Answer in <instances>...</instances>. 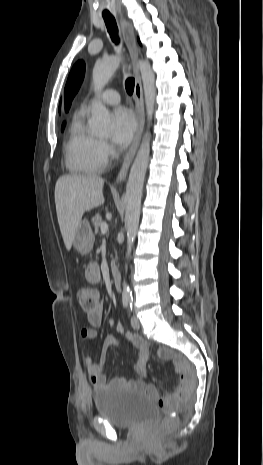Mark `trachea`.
<instances>
[{
	"label": "trachea",
	"mask_w": 263,
	"mask_h": 465,
	"mask_svg": "<svg viewBox=\"0 0 263 465\" xmlns=\"http://www.w3.org/2000/svg\"><path fill=\"white\" fill-rule=\"evenodd\" d=\"M103 19L105 21L108 33L110 34V37L112 41L115 44L119 43V37H118V27L115 21V18L112 16H103ZM134 85H135V80L134 78H127L125 81V88L128 94H132L134 91Z\"/></svg>",
	"instance_id": "1"
}]
</instances>
